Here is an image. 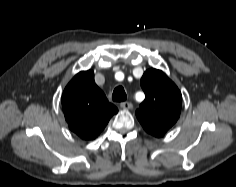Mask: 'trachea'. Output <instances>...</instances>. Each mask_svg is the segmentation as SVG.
Returning <instances> with one entry per match:
<instances>
[{"mask_svg":"<svg viewBox=\"0 0 236 187\" xmlns=\"http://www.w3.org/2000/svg\"><path fill=\"white\" fill-rule=\"evenodd\" d=\"M112 99L113 101H116V102H122L127 99L126 92L122 86H117L114 89Z\"/></svg>","mask_w":236,"mask_h":187,"instance_id":"1","label":"trachea"}]
</instances>
